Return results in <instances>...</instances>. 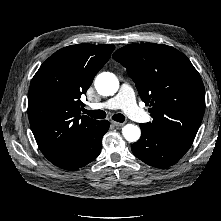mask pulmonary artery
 <instances>
[{
	"label": "pulmonary artery",
	"instance_id": "e3ab8cb5",
	"mask_svg": "<svg viewBox=\"0 0 221 221\" xmlns=\"http://www.w3.org/2000/svg\"><path fill=\"white\" fill-rule=\"evenodd\" d=\"M90 107L95 110H115L121 108L131 119L137 122H146L149 120V115L137 105L134 91L128 84L121 86L117 96L106 102L93 103Z\"/></svg>",
	"mask_w": 221,
	"mask_h": 221
}]
</instances>
